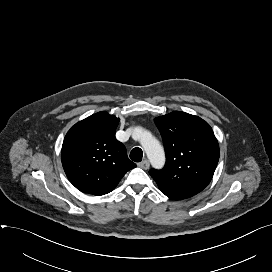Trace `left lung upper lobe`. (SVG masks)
I'll list each match as a JSON object with an SVG mask.
<instances>
[{
    "label": "left lung upper lobe",
    "mask_w": 272,
    "mask_h": 272,
    "mask_svg": "<svg viewBox=\"0 0 272 272\" xmlns=\"http://www.w3.org/2000/svg\"><path fill=\"white\" fill-rule=\"evenodd\" d=\"M162 135L166 165L149 174L173 200L190 198L211 181L219 160V145L210 125L181 111L155 118Z\"/></svg>",
    "instance_id": "5c2ea615"
}]
</instances>
